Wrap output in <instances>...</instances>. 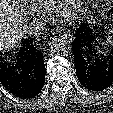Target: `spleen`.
<instances>
[{
    "label": "spleen",
    "mask_w": 113,
    "mask_h": 113,
    "mask_svg": "<svg viewBox=\"0 0 113 113\" xmlns=\"http://www.w3.org/2000/svg\"><path fill=\"white\" fill-rule=\"evenodd\" d=\"M109 39H110V37H109L108 39H106V42H108V41H109ZM102 44H104V43H102Z\"/></svg>",
    "instance_id": "1"
}]
</instances>
